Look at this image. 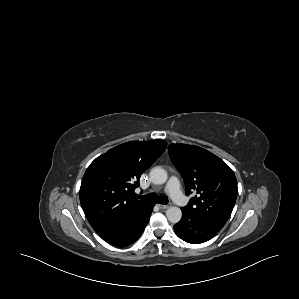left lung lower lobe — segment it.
<instances>
[{
  "mask_svg": "<svg viewBox=\"0 0 299 299\" xmlns=\"http://www.w3.org/2000/svg\"><path fill=\"white\" fill-rule=\"evenodd\" d=\"M176 235L187 243L199 244L213 238L220 230L207 221L182 210L181 220L174 226Z\"/></svg>",
  "mask_w": 299,
  "mask_h": 299,
  "instance_id": "0a47b994",
  "label": "left lung lower lobe"
}]
</instances>
